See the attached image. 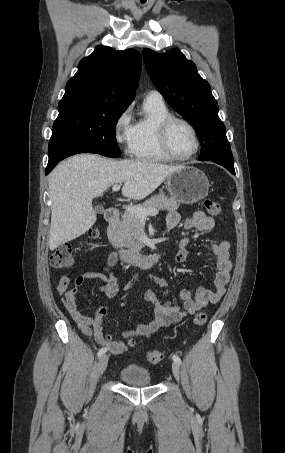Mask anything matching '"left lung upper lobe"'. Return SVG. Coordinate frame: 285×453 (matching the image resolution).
<instances>
[{"instance_id": "left-lung-upper-lobe-1", "label": "left lung upper lobe", "mask_w": 285, "mask_h": 453, "mask_svg": "<svg viewBox=\"0 0 285 453\" xmlns=\"http://www.w3.org/2000/svg\"><path fill=\"white\" fill-rule=\"evenodd\" d=\"M143 60L167 103L195 129L201 143L199 160L221 159L232 164V152L225 126L218 116L217 101L195 64L178 49L159 54L146 48Z\"/></svg>"}]
</instances>
